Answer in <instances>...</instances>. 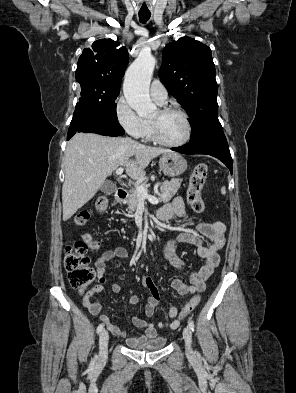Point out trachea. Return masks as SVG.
<instances>
[{
    "mask_svg": "<svg viewBox=\"0 0 296 393\" xmlns=\"http://www.w3.org/2000/svg\"><path fill=\"white\" fill-rule=\"evenodd\" d=\"M151 13L150 12H139V20L141 23H146L150 19Z\"/></svg>",
    "mask_w": 296,
    "mask_h": 393,
    "instance_id": "1",
    "label": "trachea"
}]
</instances>
